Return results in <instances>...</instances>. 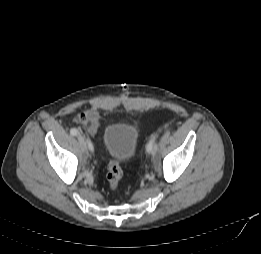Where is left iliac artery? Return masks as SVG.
I'll use <instances>...</instances> for the list:
<instances>
[{
    "mask_svg": "<svg viewBox=\"0 0 261 254\" xmlns=\"http://www.w3.org/2000/svg\"><path fill=\"white\" fill-rule=\"evenodd\" d=\"M158 137V134H154L152 135L151 139L149 140L147 146H146V151L148 153H151L152 149H153V146H154V142L156 140V138Z\"/></svg>",
    "mask_w": 261,
    "mask_h": 254,
    "instance_id": "obj_1",
    "label": "left iliac artery"
}]
</instances>
